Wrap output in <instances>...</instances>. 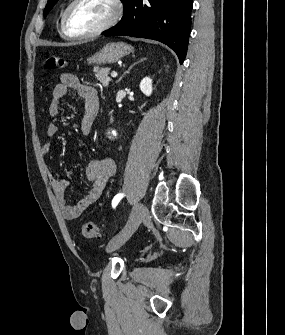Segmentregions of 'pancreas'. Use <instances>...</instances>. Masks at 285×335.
<instances>
[{"label":"pancreas","mask_w":285,"mask_h":335,"mask_svg":"<svg viewBox=\"0 0 285 335\" xmlns=\"http://www.w3.org/2000/svg\"><path fill=\"white\" fill-rule=\"evenodd\" d=\"M110 70L111 68H98V66H94L93 72H95V76L102 86H109V82H111V78L108 76Z\"/></svg>","instance_id":"pancreas-1"}]
</instances>
